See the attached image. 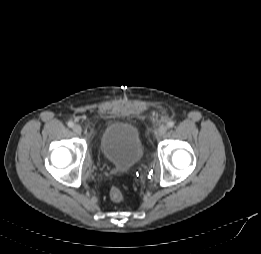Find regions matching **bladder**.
<instances>
[{"label": "bladder", "instance_id": "bladder-1", "mask_svg": "<svg viewBox=\"0 0 261 254\" xmlns=\"http://www.w3.org/2000/svg\"><path fill=\"white\" fill-rule=\"evenodd\" d=\"M99 148L103 158L119 170L135 166L144 153L138 128L126 122H116L106 127Z\"/></svg>", "mask_w": 261, "mask_h": 254}]
</instances>
